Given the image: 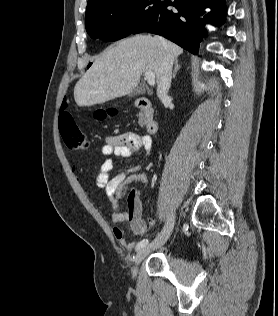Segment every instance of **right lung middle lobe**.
<instances>
[{"instance_id": "obj_1", "label": "right lung middle lobe", "mask_w": 278, "mask_h": 316, "mask_svg": "<svg viewBox=\"0 0 278 316\" xmlns=\"http://www.w3.org/2000/svg\"><path fill=\"white\" fill-rule=\"evenodd\" d=\"M160 0H110L86 12V30L93 38L116 41L149 20Z\"/></svg>"}]
</instances>
